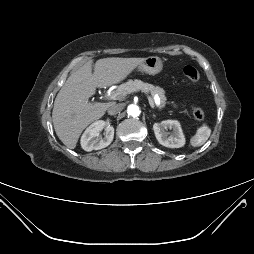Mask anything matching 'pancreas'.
Listing matches in <instances>:
<instances>
[{
  "label": "pancreas",
  "instance_id": "1",
  "mask_svg": "<svg viewBox=\"0 0 254 254\" xmlns=\"http://www.w3.org/2000/svg\"><path fill=\"white\" fill-rule=\"evenodd\" d=\"M143 91L145 93H150L152 97L157 96L160 100L158 104L159 110H162L166 105V96L165 91L159 86H154L149 83H144L141 80H128L126 83L121 84L116 92L121 93V97L126 96L127 94L133 93L135 91Z\"/></svg>",
  "mask_w": 254,
  "mask_h": 254
}]
</instances>
